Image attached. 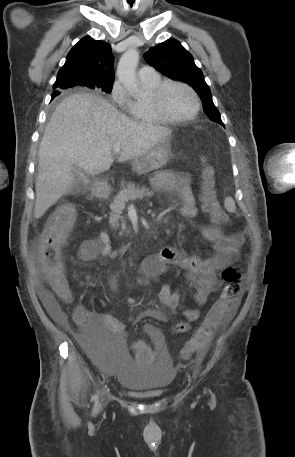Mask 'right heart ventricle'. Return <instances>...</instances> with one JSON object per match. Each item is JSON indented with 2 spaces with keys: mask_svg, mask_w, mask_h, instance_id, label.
<instances>
[{
  "mask_svg": "<svg viewBox=\"0 0 295 457\" xmlns=\"http://www.w3.org/2000/svg\"><path fill=\"white\" fill-rule=\"evenodd\" d=\"M141 81H142V84L151 93L153 91V89L162 82V79L160 76H157L154 79L141 80ZM130 114L134 120L141 122V123L160 124V123L164 122L154 112V110L151 106L150 98H148L146 100H133Z\"/></svg>",
  "mask_w": 295,
  "mask_h": 457,
  "instance_id": "obj_1",
  "label": "right heart ventricle"
}]
</instances>
